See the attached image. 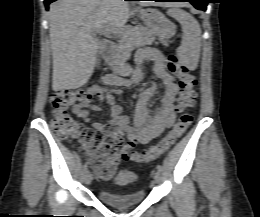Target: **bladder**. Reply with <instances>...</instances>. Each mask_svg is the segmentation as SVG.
Instances as JSON below:
<instances>
[{
    "label": "bladder",
    "mask_w": 260,
    "mask_h": 217,
    "mask_svg": "<svg viewBox=\"0 0 260 217\" xmlns=\"http://www.w3.org/2000/svg\"><path fill=\"white\" fill-rule=\"evenodd\" d=\"M136 175L128 170H121L115 183L120 186H127L134 183ZM98 198L113 207H126L142 203L145 200L146 194L144 190H134L128 193H116L108 189L101 188L97 192Z\"/></svg>",
    "instance_id": "obj_1"
}]
</instances>
